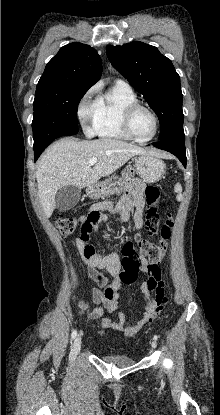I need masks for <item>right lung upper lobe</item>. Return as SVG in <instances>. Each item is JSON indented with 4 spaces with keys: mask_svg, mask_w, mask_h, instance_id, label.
Returning a JSON list of instances; mask_svg holds the SVG:
<instances>
[{
    "mask_svg": "<svg viewBox=\"0 0 220 415\" xmlns=\"http://www.w3.org/2000/svg\"><path fill=\"white\" fill-rule=\"evenodd\" d=\"M102 62L89 45L79 42L61 47L47 63L38 85L67 84L90 88L101 77Z\"/></svg>",
    "mask_w": 220,
    "mask_h": 415,
    "instance_id": "cb5924a9",
    "label": "right lung upper lobe"
}]
</instances>
